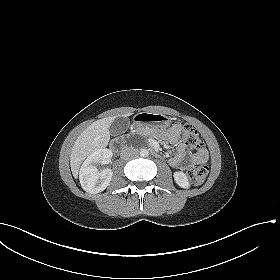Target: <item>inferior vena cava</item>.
<instances>
[{
	"label": "inferior vena cava",
	"instance_id": "1",
	"mask_svg": "<svg viewBox=\"0 0 280 280\" xmlns=\"http://www.w3.org/2000/svg\"><path fill=\"white\" fill-rule=\"evenodd\" d=\"M137 156H138V150L133 147H126L121 152V158L125 160H129Z\"/></svg>",
	"mask_w": 280,
	"mask_h": 280
}]
</instances>
